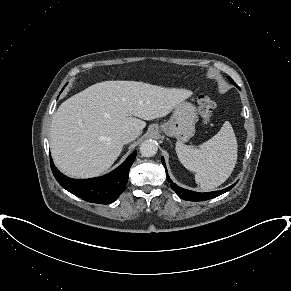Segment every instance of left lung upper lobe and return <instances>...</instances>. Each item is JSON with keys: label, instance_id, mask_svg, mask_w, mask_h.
Returning <instances> with one entry per match:
<instances>
[{"label": "left lung upper lobe", "instance_id": "1", "mask_svg": "<svg viewBox=\"0 0 291 291\" xmlns=\"http://www.w3.org/2000/svg\"><path fill=\"white\" fill-rule=\"evenodd\" d=\"M229 79H230V82L232 83V84H234V85H236L235 83H234V81L229 77Z\"/></svg>", "mask_w": 291, "mask_h": 291}]
</instances>
